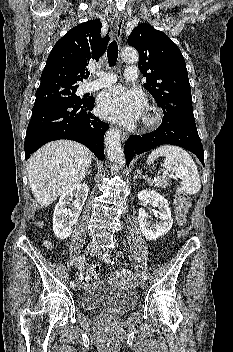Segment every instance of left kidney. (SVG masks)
I'll list each match as a JSON object with an SVG mask.
<instances>
[{"label": "left kidney", "mask_w": 233, "mask_h": 352, "mask_svg": "<svg viewBox=\"0 0 233 352\" xmlns=\"http://www.w3.org/2000/svg\"><path fill=\"white\" fill-rule=\"evenodd\" d=\"M138 199L142 202L151 201L153 207L158 208V215L160 221L156 224H151L148 221V213L144 208H140L138 212L139 227L142 235L147 240H157L160 236L165 235L173 225V219L171 217V211L167 200L152 190H142L138 193Z\"/></svg>", "instance_id": "left-kidney-1"}]
</instances>
